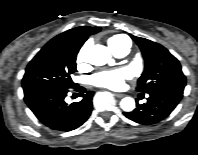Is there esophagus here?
<instances>
[{
    "mask_svg": "<svg viewBox=\"0 0 198 155\" xmlns=\"http://www.w3.org/2000/svg\"><path fill=\"white\" fill-rule=\"evenodd\" d=\"M114 96H115L116 98H122V97H124L123 94H118V93H115Z\"/></svg>",
    "mask_w": 198,
    "mask_h": 155,
    "instance_id": "obj_1",
    "label": "esophagus"
}]
</instances>
